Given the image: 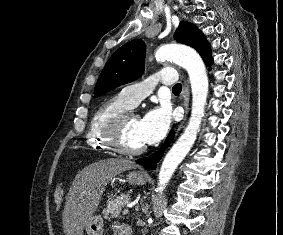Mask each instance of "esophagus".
I'll list each match as a JSON object with an SVG mask.
<instances>
[{"label":"esophagus","instance_id":"1","mask_svg":"<svg viewBox=\"0 0 283 235\" xmlns=\"http://www.w3.org/2000/svg\"><path fill=\"white\" fill-rule=\"evenodd\" d=\"M189 86L188 84L185 85L183 92H182V99H183V106L185 109V118L184 121L186 120L187 114H188V106H189ZM184 121L179 125L177 132H179L181 130V128L183 127Z\"/></svg>","mask_w":283,"mask_h":235}]
</instances>
